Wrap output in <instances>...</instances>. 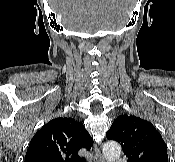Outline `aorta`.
I'll return each mask as SVG.
<instances>
[{"mask_svg": "<svg viewBox=\"0 0 175 162\" xmlns=\"http://www.w3.org/2000/svg\"><path fill=\"white\" fill-rule=\"evenodd\" d=\"M103 155L107 162H115L121 156V147L115 141H107L103 146Z\"/></svg>", "mask_w": 175, "mask_h": 162, "instance_id": "1", "label": "aorta"}]
</instances>
